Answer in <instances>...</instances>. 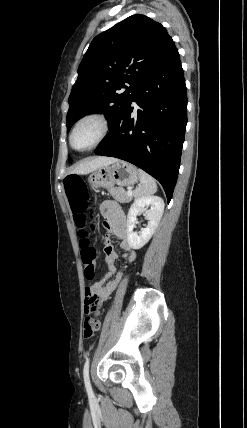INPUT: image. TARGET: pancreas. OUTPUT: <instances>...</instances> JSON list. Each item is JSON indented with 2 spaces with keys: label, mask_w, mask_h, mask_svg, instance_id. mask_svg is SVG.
Segmentation results:
<instances>
[{
  "label": "pancreas",
  "mask_w": 247,
  "mask_h": 428,
  "mask_svg": "<svg viewBox=\"0 0 247 428\" xmlns=\"http://www.w3.org/2000/svg\"><path fill=\"white\" fill-rule=\"evenodd\" d=\"M108 191L111 196L118 202L129 203L132 201V196H129L122 187H112Z\"/></svg>",
  "instance_id": "1"
}]
</instances>
